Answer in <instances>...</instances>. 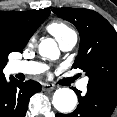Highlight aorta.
<instances>
[{
  "instance_id": "aorta-1",
  "label": "aorta",
  "mask_w": 117,
  "mask_h": 117,
  "mask_svg": "<svg viewBox=\"0 0 117 117\" xmlns=\"http://www.w3.org/2000/svg\"><path fill=\"white\" fill-rule=\"evenodd\" d=\"M39 53L41 56L51 59H57L59 57L57 44L50 38L41 41L39 44ZM52 104L60 113H69L76 107L77 96L69 88H59L53 95Z\"/></svg>"
}]
</instances>
